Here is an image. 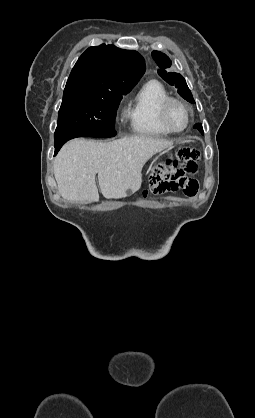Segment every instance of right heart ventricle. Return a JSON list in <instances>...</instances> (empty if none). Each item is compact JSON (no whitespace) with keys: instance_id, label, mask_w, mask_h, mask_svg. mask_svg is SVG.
Wrapping results in <instances>:
<instances>
[{"instance_id":"e07e8e85","label":"right heart ventricle","mask_w":255,"mask_h":418,"mask_svg":"<svg viewBox=\"0 0 255 418\" xmlns=\"http://www.w3.org/2000/svg\"><path fill=\"white\" fill-rule=\"evenodd\" d=\"M170 95L157 80L145 82L132 98L126 116L134 134L142 136H164L171 132L160 120L162 103Z\"/></svg>"}]
</instances>
